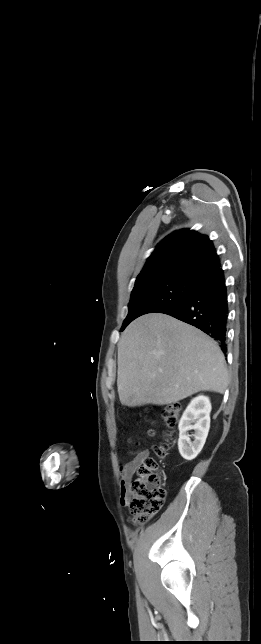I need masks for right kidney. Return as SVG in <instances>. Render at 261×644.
<instances>
[{"label": "right kidney", "instance_id": "right-kidney-1", "mask_svg": "<svg viewBox=\"0 0 261 644\" xmlns=\"http://www.w3.org/2000/svg\"><path fill=\"white\" fill-rule=\"evenodd\" d=\"M211 403L208 397L199 395L192 399L179 421L178 449L186 460L194 459L202 450L210 428ZM195 430L194 441L188 431Z\"/></svg>", "mask_w": 261, "mask_h": 644}]
</instances>
